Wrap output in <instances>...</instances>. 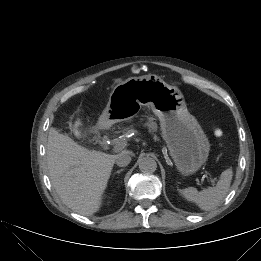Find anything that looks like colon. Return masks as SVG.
Segmentation results:
<instances>
[{"label": "colon", "instance_id": "obj_1", "mask_svg": "<svg viewBox=\"0 0 261 261\" xmlns=\"http://www.w3.org/2000/svg\"><path fill=\"white\" fill-rule=\"evenodd\" d=\"M215 135L216 136H221L222 135L221 130H219V129L215 130Z\"/></svg>", "mask_w": 261, "mask_h": 261}]
</instances>
